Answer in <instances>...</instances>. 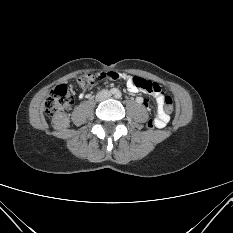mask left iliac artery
<instances>
[{
	"label": "left iliac artery",
	"mask_w": 233,
	"mask_h": 233,
	"mask_svg": "<svg viewBox=\"0 0 233 233\" xmlns=\"http://www.w3.org/2000/svg\"><path fill=\"white\" fill-rule=\"evenodd\" d=\"M117 97H120V94H119V93L117 94Z\"/></svg>",
	"instance_id": "obj_1"
}]
</instances>
